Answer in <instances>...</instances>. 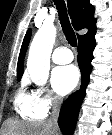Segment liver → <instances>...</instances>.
<instances>
[{
	"instance_id": "6515ba94",
	"label": "liver",
	"mask_w": 112,
	"mask_h": 135,
	"mask_svg": "<svg viewBox=\"0 0 112 135\" xmlns=\"http://www.w3.org/2000/svg\"><path fill=\"white\" fill-rule=\"evenodd\" d=\"M3 135H56L49 122H26L8 119L4 122Z\"/></svg>"
}]
</instances>
